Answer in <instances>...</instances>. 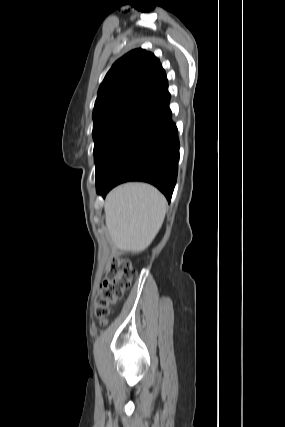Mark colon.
<instances>
[{"label": "colon", "mask_w": 285, "mask_h": 427, "mask_svg": "<svg viewBox=\"0 0 285 427\" xmlns=\"http://www.w3.org/2000/svg\"><path fill=\"white\" fill-rule=\"evenodd\" d=\"M134 277L135 271L129 262L116 260L110 264L94 301V313L100 324L107 323L111 307L123 297Z\"/></svg>", "instance_id": "1"}]
</instances>
